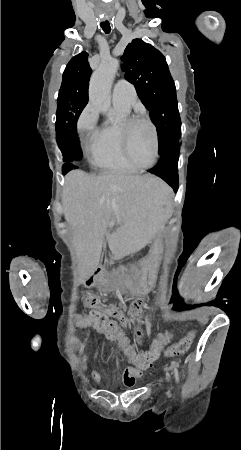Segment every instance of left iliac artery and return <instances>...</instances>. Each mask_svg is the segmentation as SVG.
Segmentation results:
<instances>
[{"instance_id":"44dca946","label":"left iliac artery","mask_w":241,"mask_h":450,"mask_svg":"<svg viewBox=\"0 0 241 450\" xmlns=\"http://www.w3.org/2000/svg\"><path fill=\"white\" fill-rule=\"evenodd\" d=\"M174 373H175L176 382L178 383L179 382V374H178V369H177L176 365H174Z\"/></svg>"}]
</instances>
